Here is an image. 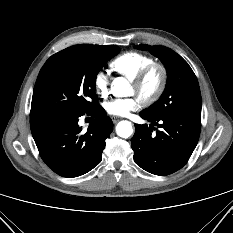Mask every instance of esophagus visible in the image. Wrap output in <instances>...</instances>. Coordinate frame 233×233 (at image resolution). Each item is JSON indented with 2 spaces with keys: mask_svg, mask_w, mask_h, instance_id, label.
Returning a JSON list of instances; mask_svg holds the SVG:
<instances>
[{
  "mask_svg": "<svg viewBox=\"0 0 233 233\" xmlns=\"http://www.w3.org/2000/svg\"><path fill=\"white\" fill-rule=\"evenodd\" d=\"M111 118H112L113 123H117L120 120V118L117 116H112Z\"/></svg>",
  "mask_w": 233,
  "mask_h": 233,
  "instance_id": "esophagus-1",
  "label": "esophagus"
}]
</instances>
